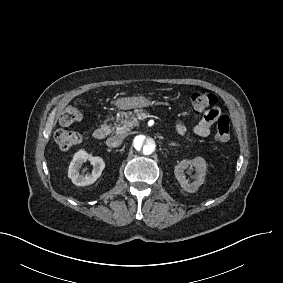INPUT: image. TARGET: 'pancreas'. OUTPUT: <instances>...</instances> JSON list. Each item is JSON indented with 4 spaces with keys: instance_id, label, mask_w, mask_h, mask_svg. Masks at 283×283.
<instances>
[{
    "instance_id": "cf45deb5",
    "label": "pancreas",
    "mask_w": 283,
    "mask_h": 283,
    "mask_svg": "<svg viewBox=\"0 0 283 283\" xmlns=\"http://www.w3.org/2000/svg\"><path fill=\"white\" fill-rule=\"evenodd\" d=\"M135 113H138V110L135 111ZM138 125V119L135 116V114H132V112H121L119 116L116 117V121L114 123V126L112 127V130L116 134H126L128 131H130L133 127ZM176 130L177 133L180 135H185L186 127L182 124L181 121H178L176 124ZM189 141H191L190 138H187Z\"/></svg>"
}]
</instances>
